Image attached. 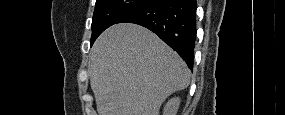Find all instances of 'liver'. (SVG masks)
I'll return each instance as SVG.
<instances>
[{
	"mask_svg": "<svg viewBox=\"0 0 285 115\" xmlns=\"http://www.w3.org/2000/svg\"><path fill=\"white\" fill-rule=\"evenodd\" d=\"M88 71L99 115H159L166 98L190 84L182 58L156 34L130 23L98 37Z\"/></svg>",
	"mask_w": 285,
	"mask_h": 115,
	"instance_id": "obj_1",
	"label": "liver"
}]
</instances>
